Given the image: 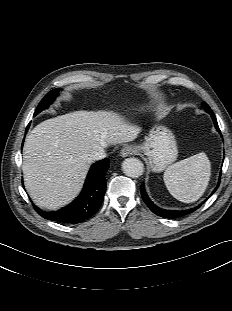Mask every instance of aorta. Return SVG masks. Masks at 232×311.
<instances>
[{
    "mask_svg": "<svg viewBox=\"0 0 232 311\" xmlns=\"http://www.w3.org/2000/svg\"><path fill=\"white\" fill-rule=\"evenodd\" d=\"M122 169L128 177L137 178L143 174L144 165L139 159L131 157L123 161Z\"/></svg>",
    "mask_w": 232,
    "mask_h": 311,
    "instance_id": "aorta-1",
    "label": "aorta"
}]
</instances>
